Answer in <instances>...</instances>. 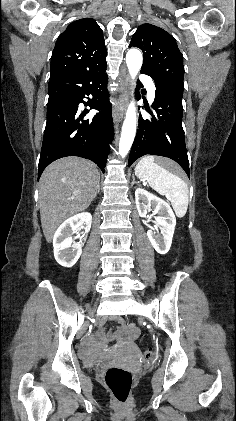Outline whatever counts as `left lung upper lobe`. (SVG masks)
<instances>
[{
	"mask_svg": "<svg viewBox=\"0 0 236 421\" xmlns=\"http://www.w3.org/2000/svg\"><path fill=\"white\" fill-rule=\"evenodd\" d=\"M143 51L141 71L154 80L176 84L183 90V57L174 38L152 24H142L133 34L129 47Z\"/></svg>",
	"mask_w": 236,
	"mask_h": 421,
	"instance_id": "obj_1",
	"label": "left lung upper lobe"
}]
</instances>
